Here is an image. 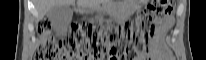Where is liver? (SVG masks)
I'll return each mask as SVG.
<instances>
[{
    "instance_id": "obj_1",
    "label": "liver",
    "mask_w": 206,
    "mask_h": 60,
    "mask_svg": "<svg viewBox=\"0 0 206 60\" xmlns=\"http://www.w3.org/2000/svg\"><path fill=\"white\" fill-rule=\"evenodd\" d=\"M76 0H36L35 5L39 18H43L47 12L55 5H70ZM93 0H78L79 5L92 3Z\"/></svg>"
}]
</instances>
